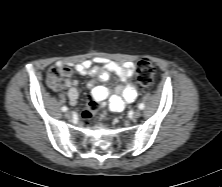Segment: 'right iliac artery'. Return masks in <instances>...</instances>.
<instances>
[{"label":"right iliac artery","mask_w":222,"mask_h":187,"mask_svg":"<svg viewBox=\"0 0 222 187\" xmlns=\"http://www.w3.org/2000/svg\"><path fill=\"white\" fill-rule=\"evenodd\" d=\"M61 109H62L63 112L68 110V108L66 106H63Z\"/></svg>","instance_id":"right-iliac-artery-1"}]
</instances>
